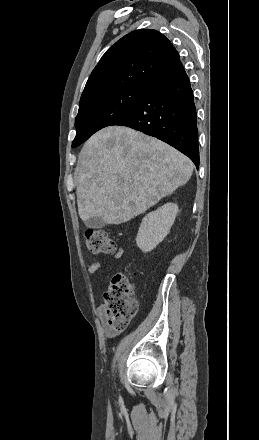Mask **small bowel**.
<instances>
[{
  "instance_id": "obj_1",
  "label": "small bowel",
  "mask_w": 259,
  "mask_h": 440,
  "mask_svg": "<svg viewBox=\"0 0 259 440\" xmlns=\"http://www.w3.org/2000/svg\"><path fill=\"white\" fill-rule=\"evenodd\" d=\"M124 255V250L122 247H118L115 251V254L113 256L114 259H120L122 256ZM101 268V262L99 260H95L93 261L89 266H88V272L91 274L96 273L97 271H99ZM98 315L101 319L102 322V326H103V330L104 333L106 335V337L108 338H112L115 337L119 334L120 330L119 329H115L113 327H111L106 320L105 317V311H104V307L103 305L98 307Z\"/></svg>"
}]
</instances>
